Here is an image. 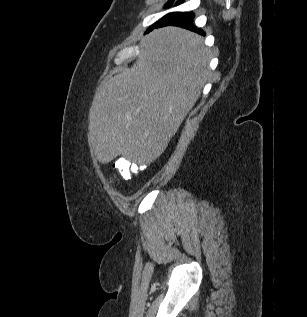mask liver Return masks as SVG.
Returning a JSON list of instances; mask_svg holds the SVG:
<instances>
[{
    "label": "liver",
    "instance_id": "liver-1",
    "mask_svg": "<svg viewBox=\"0 0 307 317\" xmlns=\"http://www.w3.org/2000/svg\"><path fill=\"white\" fill-rule=\"evenodd\" d=\"M209 61L196 33L164 27L145 36L133 66L104 82L93 99L88 139L99 162L157 159L198 100Z\"/></svg>",
    "mask_w": 307,
    "mask_h": 317
}]
</instances>
